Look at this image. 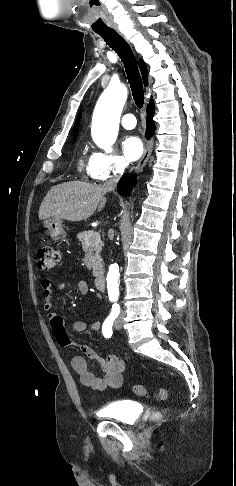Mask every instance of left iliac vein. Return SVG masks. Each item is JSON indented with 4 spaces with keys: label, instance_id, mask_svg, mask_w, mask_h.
I'll return each instance as SVG.
<instances>
[{
    "label": "left iliac vein",
    "instance_id": "4c4485c4",
    "mask_svg": "<svg viewBox=\"0 0 236 486\" xmlns=\"http://www.w3.org/2000/svg\"><path fill=\"white\" fill-rule=\"evenodd\" d=\"M115 327H116V329H118V330H120V329H121V327H122V319H121V317H120V318H118V320L116 321V323H115Z\"/></svg>",
    "mask_w": 236,
    "mask_h": 486
}]
</instances>
